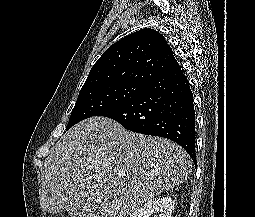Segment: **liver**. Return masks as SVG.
Masks as SVG:
<instances>
[{"label": "liver", "mask_w": 255, "mask_h": 217, "mask_svg": "<svg viewBox=\"0 0 255 217\" xmlns=\"http://www.w3.org/2000/svg\"><path fill=\"white\" fill-rule=\"evenodd\" d=\"M191 167L178 144L91 117L65 132L45 159L40 205L52 214L79 210L84 217H128L182 183Z\"/></svg>", "instance_id": "6515ba94"}]
</instances>
